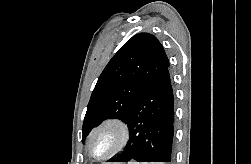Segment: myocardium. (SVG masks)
<instances>
[{"label":"myocardium","instance_id":"f54148a6","mask_svg":"<svg viewBox=\"0 0 251 164\" xmlns=\"http://www.w3.org/2000/svg\"><path fill=\"white\" fill-rule=\"evenodd\" d=\"M104 131H110L114 136L112 147L102 155H95L92 150V144L95 138ZM131 137V131L126 121L119 117H109L102 120L90 132L87 139V152L91 158L98 161L110 159L122 152L128 145Z\"/></svg>","mask_w":251,"mask_h":164}]
</instances>
